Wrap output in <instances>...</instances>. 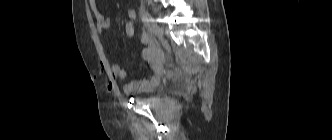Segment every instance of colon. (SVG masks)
Instances as JSON below:
<instances>
[{"label":"colon","instance_id":"1","mask_svg":"<svg viewBox=\"0 0 332 140\" xmlns=\"http://www.w3.org/2000/svg\"><path fill=\"white\" fill-rule=\"evenodd\" d=\"M124 31L127 36L129 37L133 36L135 34L134 24L130 21L126 22L124 25Z\"/></svg>","mask_w":332,"mask_h":140}]
</instances>
